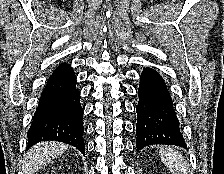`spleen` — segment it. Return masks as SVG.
<instances>
[{
  "label": "spleen",
  "instance_id": "obj_1",
  "mask_svg": "<svg viewBox=\"0 0 224 174\" xmlns=\"http://www.w3.org/2000/svg\"><path fill=\"white\" fill-rule=\"evenodd\" d=\"M161 161L172 174H187V165L183 156L178 151L168 147H162L159 151Z\"/></svg>",
  "mask_w": 224,
  "mask_h": 174
}]
</instances>
